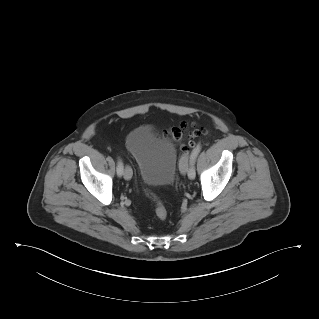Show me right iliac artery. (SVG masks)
Returning a JSON list of instances; mask_svg holds the SVG:
<instances>
[{
    "mask_svg": "<svg viewBox=\"0 0 319 319\" xmlns=\"http://www.w3.org/2000/svg\"><path fill=\"white\" fill-rule=\"evenodd\" d=\"M123 168H124L123 162H122V160L119 158V159H118V162H117V175H118L119 177H121L122 174H123Z\"/></svg>",
    "mask_w": 319,
    "mask_h": 319,
    "instance_id": "82829eb1",
    "label": "right iliac artery"
}]
</instances>
